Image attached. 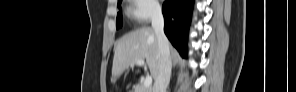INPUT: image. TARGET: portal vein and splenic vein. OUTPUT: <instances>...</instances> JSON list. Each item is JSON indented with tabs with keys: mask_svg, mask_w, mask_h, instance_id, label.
<instances>
[{
	"mask_svg": "<svg viewBox=\"0 0 296 92\" xmlns=\"http://www.w3.org/2000/svg\"><path fill=\"white\" fill-rule=\"evenodd\" d=\"M136 63L137 65H145V61L142 59L137 60ZM143 84L145 87H149L152 84V77L147 75Z\"/></svg>",
	"mask_w": 296,
	"mask_h": 92,
	"instance_id": "portal-vein-and-splenic-vein-1",
	"label": "portal vein and splenic vein"
}]
</instances>
